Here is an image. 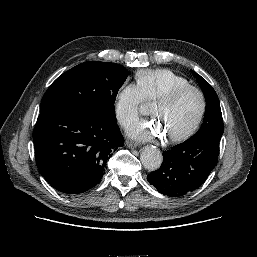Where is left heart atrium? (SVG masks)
Masks as SVG:
<instances>
[{
	"mask_svg": "<svg viewBox=\"0 0 257 257\" xmlns=\"http://www.w3.org/2000/svg\"><path fill=\"white\" fill-rule=\"evenodd\" d=\"M130 134L141 139H152L159 135L156 126L147 122H140L130 128Z\"/></svg>",
	"mask_w": 257,
	"mask_h": 257,
	"instance_id": "39dd6f15",
	"label": "left heart atrium"
}]
</instances>
